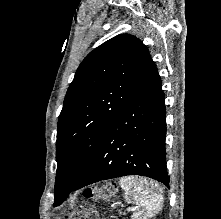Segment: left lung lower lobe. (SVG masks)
Returning a JSON list of instances; mask_svg holds the SVG:
<instances>
[{"mask_svg":"<svg viewBox=\"0 0 221 219\" xmlns=\"http://www.w3.org/2000/svg\"><path fill=\"white\" fill-rule=\"evenodd\" d=\"M165 103L156 67L116 116L72 191L126 175L153 178L168 186Z\"/></svg>","mask_w":221,"mask_h":219,"instance_id":"0a47b994","label":"left lung lower lobe"}]
</instances>
